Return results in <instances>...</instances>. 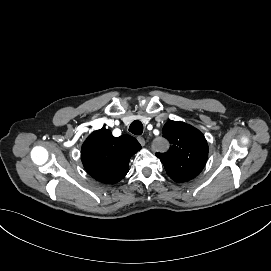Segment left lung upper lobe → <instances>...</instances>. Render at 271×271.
<instances>
[{
  "mask_svg": "<svg viewBox=\"0 0 271 271\" xmlns=\"http://www.w3.org/2000/svg\"><path fill=\"white\" fill-rule=\"evenodd\" d=\"M163 136L171 144L166 153H156L168 176L175 182H187L204 168L208 145L204 135L184 122L169 120L163 127Z\"/></svg>",
  "mask_w": 271,
  "mask_h": 271,
  "instance_id": "left-lung-upper-lobe-1",
  "label": "left lung upper lobe"
}]
</instances>
